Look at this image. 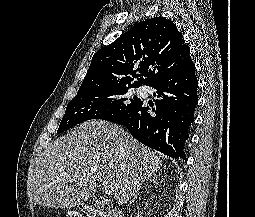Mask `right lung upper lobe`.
<instances>
[{"label":"right lung upper lobe","instance_id":"cb5924a9","mask_svg":"<svg viewBox=\"0 0 255 217\" xmlns=\"http://www.w3.org/2000/svg\"><path fill=\"white\" fill-rule=\"evenodd\" d=\"M189 59L190 50L176 25L154 17L135 24L99 49L78 92L148 86Z\"/></svg>","mask_w":255,"mask_h":217}]
</instances>
